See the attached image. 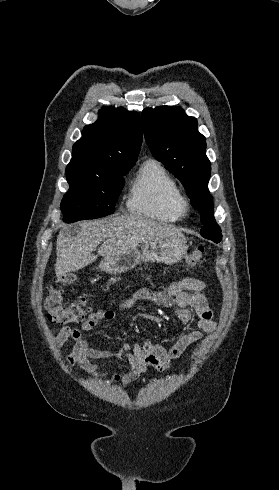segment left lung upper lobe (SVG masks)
I'll return each instance as SVG.
<instances>
[{
  "mask_svg": "<svg viewBox=\"0 0 279 490\" xmlns=\"http://www.w3.org/2000/svg\"><path fill=\"white\" fill-rule=\"evenodd\" d=\"M144 135L154 157L166 165L187 190L191 204L201 213L200 234L215 243L222 240L213 216L208 190L211 163L206 156V139L198 132L197 120L180 107L160 106L142 112Z\"/></svg>",
  "mask_w": 279,
  "mask_h": 490,
  "instance_id": "obj_1",
  "label": "left lung upper lobe"
}]
</instances>
